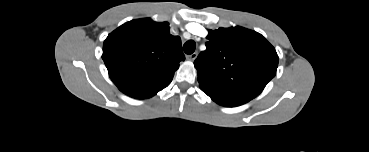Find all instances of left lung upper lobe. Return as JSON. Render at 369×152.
I'll list each match as a JSON object with an SVG mask.
<instances>
[{"label":"left lung upper lobe","instance_id":"obj_1","mask_svg":"<svg viewBox=\"0 0 369 152\" xmlns=\"http://www.w3.org/2000/svg\"><path fill=\"white\" fill-rule=\"evenodd\" d=\"M207 38L194 62L201 89L252 100L276 75L278 55L261 34L237 26L209 30Z\"/></svg>","mask_w":369,"mask_h":152}]
</instances>
